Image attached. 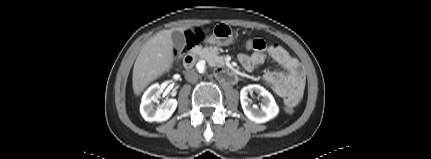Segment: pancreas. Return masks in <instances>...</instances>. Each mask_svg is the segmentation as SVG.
Masks as SVG:
<instances>
[{"label": "pancreas", "instance_id": "pancreas-1", "mask_svg": "<svg viewBox=\"0 0 431 159\" xmlns=\"http://www.w3.org/2000/svg\"><path fill=\"white\" fill-rule=\"evenodd\" d=\"M199 55L212 66H216L223 61V58L218 55V51L211 47L200 48Z\"/></svg>", "mask_w": 431, "mask_h": 159}]
</instances>
